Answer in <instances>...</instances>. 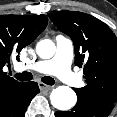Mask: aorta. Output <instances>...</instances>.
I'll use <instances>...</instances> for the list:
<instances>
[{
	"label": "aorta",
	"mask_w": 117,
	"mask_h": 117,
	"mask_svg": "<svg viewBox=\"0 0 117 117\" xmlns=\"http://www.w3.org/2000/svg\"><path fill=\"white\" fill-rule=\"evenodd\" d=\"M55 50V44L49 39L38 42L36 46V52L42 59H49L53 57ZM50 100L54 108L60 111H67L74 107L77 101V96L70 87L58 86L52 90Z\"/></svg>",
	"instance_id": "762f6f07"
}]
</instances>
